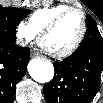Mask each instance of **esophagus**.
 Instances as JSON below:
<instances>
[{"label":"esophagus","mask_w":103,"mask_h":103,"mask_svg":"<svg viewBox=\"0 0 103 103\" xmlns=\"http://www.w3.org/2000/svg\"><path fill=\"white\" fill-rule=\"evenodd\" d=\"M31 56H32V57H36V56H37L36 52L33 51V50H31Z\"/></svg>","instance_id":"esophagus-1"}]
</instances>
